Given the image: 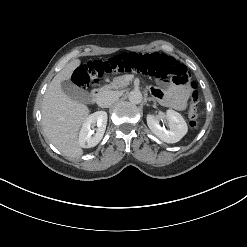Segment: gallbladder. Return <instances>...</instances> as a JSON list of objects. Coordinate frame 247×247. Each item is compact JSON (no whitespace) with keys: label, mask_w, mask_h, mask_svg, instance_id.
<instances>
[{"label":"gallbladder","mask_w":247,"mask_h":247,"mask_svg":"<svg viewBox=\"0 0 247 247\" xmlns=\"http://www.w3.org/2000/svg\"><path fill=\"white\" fill-rule=\"evenodd\" d=\"M61 89L74 101L87 104L91 100V96L87 91L80 89L69 80L61 82Z\"/></svg>","instance_id":"gallbladder-1"}]
</instances>
